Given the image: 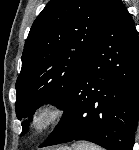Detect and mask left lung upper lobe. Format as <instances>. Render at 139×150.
<instances>
[{
    "label": "left lung upper lobe",
    "instance_id": "obj_1",
    "mask_svg": "<svg viewBox=\"0 0 139 150\" xmlns=\"http://www.w3.org/2000/svg\"><path fill=\"white\" fill-rule=\"evenodd\" d=\"M115 0H50L34 21L16 82L19 120L43 103L61 108L103 31ZM22 133L28 120L22 123Z\"/></svg>",
    "mask_w": 139,
    "mask_h": 150
}]
</instances>
